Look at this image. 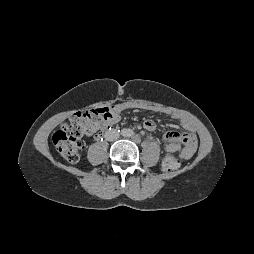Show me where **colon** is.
Returning <instances> with one entry per match:
<instances>
[{"instance_id": "obj_1", "label": "colon", "mask_w": 254, "mask_h": 254, "mask_svg": "<svg viewBox=\"0 0 254 254\" xmlns=\"http://www.w3.org/2000/svg\"><path fill=\"white\" fill-rule=\"evenodd\" d=\"M109 107L97 108L72 115L69 120L53 135V143L57 151L68 163L79 161L80 152L84 148V136L110 126L112 113ZM179 161L174 155H165L162 168L166 172L175 171Z\"/></svg>"}]
</instances>
